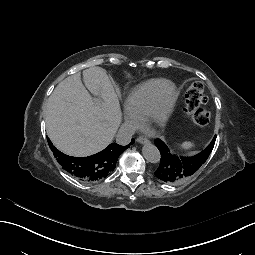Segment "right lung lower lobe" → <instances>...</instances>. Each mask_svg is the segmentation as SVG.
I'll list each match as a JSON object with an SVG mask.
<instances>
[{
	"mask_svg": "<svg viewBox=\"0 0 255 255\" xmlns=\"http://www.w3.org/2000/svg\"><path fill=\"white\" fill-rule=\"evenodd\" d=\"M134 141H132L133 143ZM83 170L86 172L85 176L90 178L92 173H97L100 171V161L90 153L83 156ZM92 172V173H91Z\"/></svg>",
	"mask_w": 255,
	"mask_h": 255,
	"instance_id": "obj_1",
	"label": "right lung lower lobe"
}]
</instances>
